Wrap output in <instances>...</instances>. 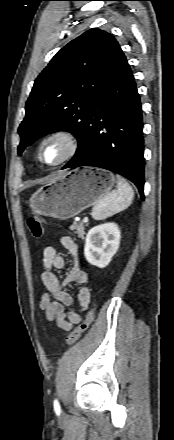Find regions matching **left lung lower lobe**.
Here are the masks:
<instances>
[{
  "label": "left lung lower lobe",
  "instance_id": "left-lung-lower-lobe-1",
  "mask_svg": "<svg viewBox=\"0 0 174 440\" xmlns=\"http://www.w3.org/2000/svg\"><path fill=\"white\" fill-rule=\"evenodd\" d=\"M143 121L140 97L123 54L91 106L84 144L62 169L95 166L131 180L144 200Z\"/></svg>",
  "mask_w": 174,
  "mask_h": 440
}]
</instances>
